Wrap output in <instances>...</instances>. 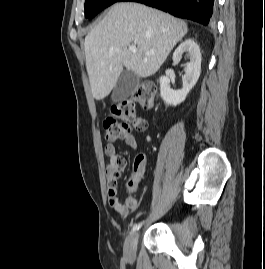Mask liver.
I'll return each mask as SVG.
<instances>
[{"label":"liver","mask_w":265,"mask_h":269,"mask_svg":"<svg viewBox=\"0 0 265 269\" xmlns=\"http://www.w3.org/2000/svg\"><path fill=\"white\" fill-rule=\"evenodd\" d=\"M187 31L184 21L145 5H113L85 37L93 97L101 100L108 96L123 67L142 78L155 74ZM130 46H136L137 53H131ZM148 51L154 54L145 55Z\"/></svg>","instance_id":"obj_1"}]
</instances>
